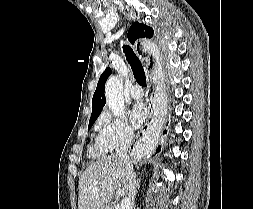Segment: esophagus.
I'll list each match as a JSON object with an SVG mask.
<instances>
[{
	"mask_svg": "<svg viewBox=\"0 0 253 209\" xmlns=\"http://www.w3.org/2000/svg\"><path fill=\"white\" fill-rule=\"evenodd\" d=\"M154 121V105L153 102L148 105V118L146 120L145 125L142 127L140 134L143 133L146 129H148Z\"/></svg>",
	"mask_w": 253,
	"mask_h": 209,
	"instance_id": "34e87169",
	"label": "esophagus"
}]
</instances>
